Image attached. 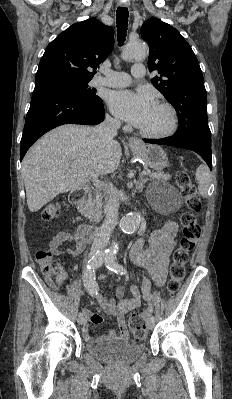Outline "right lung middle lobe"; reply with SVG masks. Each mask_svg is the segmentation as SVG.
I'll list each match as a JSON object with an SVG mask.
<instances>
[{
    "label": "right lung middle lobe",
    "mask_w": 232,
    "mask_h": 399,
    "mask_svg": "<svg viewBox=\"0 0 232 399\" xmlns=\"http://www.w3.org/2000/svg\"><path fill=\"white\" fill-rule=\"evenodd\" d=\"M48 81L57 82V83L63 85L64 87L72 89L83 100H86L89 102H97V101L101 100V98L96 95L95 89L88 88L87 83L90 80L75 79V78H57V79H52V80H48Z\"/></svg>",
    "instance_id": "dd1d6c3e"
}]
</instances>
